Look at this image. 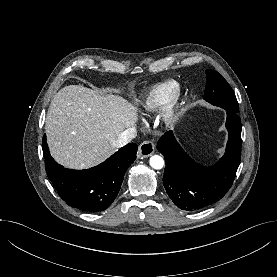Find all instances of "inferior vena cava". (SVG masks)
Returning <instances> with one entry per match:
<instances>
[{
	"mask_svg": "<svg viewBox=\"0 0 277 277\" xmlns=\"http://www.w3.org/2000/svg\"><path fill=\"white\" fill-rule=\"evenodd\" d=\"M136 129L134 127H130L124 130L118 138L115 140V144L117 147H122L129 143L132 139L136 137Z\"/></svg>",
	"mask_w": 277,
	"mask_h": 277,
	"instance_id": "obj_1",
	"label": "inferior vena cava"
}]
</instances>
